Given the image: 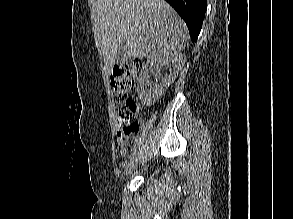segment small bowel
I'll return each instance as SVG.
<instances>
[{"label":"small bowel","instance_id":"obj_1","mask_svg":"<svg viewBox=\"0 0 293 219\" xmlns=\"http://www.w3.org/2000/svg\"><path fill=\"white\" fill-rule=\"evenodd\" d=\"M118 145H119V152L122 156H125L127 153V147L129 144V135L122 134L120 131H118V139H117Z\"/></svg>","mask_w":293,"mask_h":219}]
</instances>
